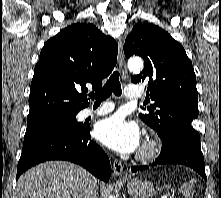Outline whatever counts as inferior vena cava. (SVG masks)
<instances>
[{
  "label": "inferior vena cava",
  "instance_id": "obj_1",
  "mask_svg": "<svg viewBox=\"0 0 221 198\" xmlns=\"http://www.w3.org/2000/svg\"><path fill=\"white\" fill-rule=\"evenodd\" d=\"M98 187L95 181L91 180L87 187L86 198H97Z\"/></svg>",
  "mask_w": 221,
  "mask_h": 198
}]
</instances>
